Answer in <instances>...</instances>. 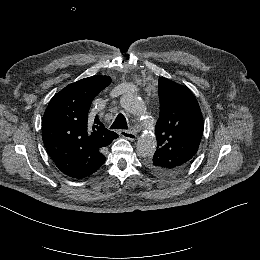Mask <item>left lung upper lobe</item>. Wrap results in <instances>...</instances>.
I'll use <instances>...</instances> for the list:
<instances>
[{
  "mask_svg": "<svg viewBox=\"0 0 260 260\" xmlns=\"http://www.w3.org/2000/svg\"><path fill=\"white\" fill-rule=\"evenodd\" d=\"M159 98L160 117L155 127L158 146L148 166L163 175H176L195 159L203 117L191 91L164 77L159 79Z\"/></svg>",
  "mask_w": 260,
  "mask_h": 260,
  "instance_id": "5c2ea615",
  "label": "left lung upper lobe"
}]
</instances>
